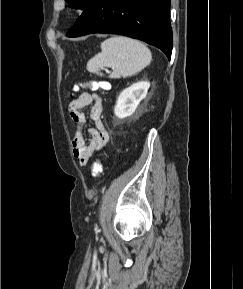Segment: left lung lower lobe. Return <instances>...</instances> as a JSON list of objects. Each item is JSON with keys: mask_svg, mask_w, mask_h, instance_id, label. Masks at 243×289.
<instances>
[{"mask_svg": "<svg viewBox=\"0 0 243 289\" xmlns=\"http://www.w3.org/2000/svg\"><path fill=\"white\" fill-rule=\"evenodd\" d=\"M170 0H91L67 32L68 37L91 33L120 34L172 52Z\"/></svg>", "mask_w": 243, "mask_h": 289, "instance_id": "left-lung-lower-lobe-1", "label": "left lung lower lobe"}]
</instances>
